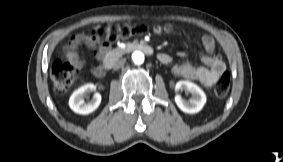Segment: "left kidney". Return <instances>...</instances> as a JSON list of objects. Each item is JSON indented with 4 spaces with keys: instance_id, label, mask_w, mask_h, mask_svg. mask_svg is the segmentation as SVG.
Masks as SVG:
<instances>
[{
    "instance_id": "1",
    "label": "left kidney",
    "mask_w": 283,
    "mask_h": 162,
    "mask_svg": "<svg viewBox=\"0 0 283 162\" xmlns=\"http://www.w3.org/2000/svg\"><path fill=\"white\" fill-rule=\"evenodd\" d=\"M175 90H185L191 94V98L189 100L183 99L179 94L175 96L176 105L185 113H197L203 108L206 103L207 98L204 91L199 86L190 81H178L175 85Z\"/></svg>"
}]
</instances>
